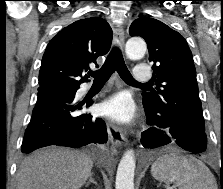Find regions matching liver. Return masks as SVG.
I'll list each match as a JSON object with an SVG mask.
<instances>
[{
	"mask_svg": "<svg viewBox=\"0 0 223 189\" xmlns=\"http://www.w3.org/2000/svg\"><path fill=\"white\" fill-rule=\"evenodd\" d=\"M93 159L83 152L49 147L21 163L16 189H79L88 179Z\"/></svg>",
	"mask_w": 223,
	"mask_h": 189,
	"instance_id": "liver-1",
	"label": "liver"
}]
</instances>
